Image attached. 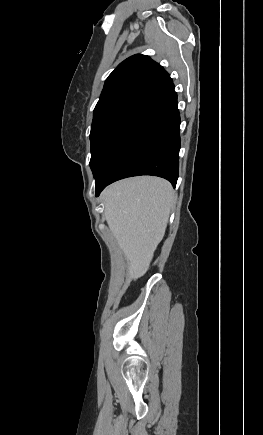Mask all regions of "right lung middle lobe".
<instances>
[{
	"instance_id": "obj_1",
	"label": "right lung middle lobe",
	"mask_w": 263,
	"mask_h": 435,
	"mask_svg": "<svg viewBox=\"0 0 263 435\" xmlns=\"http://www.w3.org/2000/svg\"><path fill=\"white\" fill-rule=\"evenodd\" d=\"M144 104L121 102L94 110L90 133V167L96 176L111 154L118 139Z\"/></svg>"
}]
</instances>
